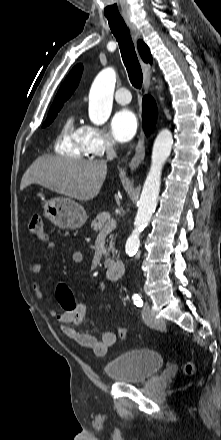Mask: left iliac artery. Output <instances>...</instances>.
I'll use <instances>...</instances> for the list:
<instances>
[{
    "label": "left iliac artery",
    "mask_w": 221,
    "mask_h": 440,
    "mask_svg": "<svg viewBox=\"0 0 221 440\" xmlns=\"http://www.w3.org/2000/svg\"><path fill=\"white\" fill-rule=\"evenodd\" d=\"M133 302L137 307H142L143 306V300L141 299V297L138 294H135L133 297Z\"/></svg>",
    "instance_id": "left-iliac-artery-1"
}]
</instances>
